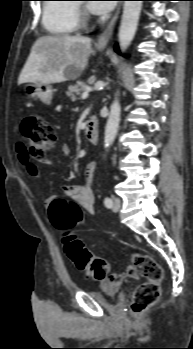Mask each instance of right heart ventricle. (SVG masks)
I'll return each mask as SVG.
<instances>
[{
    "label": "right heart ventricle",
    "mask_w": 193,
    "mask_h": 349,
    "mask_svg": "<svg viewBox=\"0 0 193 349\" xmlns=\"http://www.w3.org/2000/svg\"><path fill=\"white\" fill-rule=\"evenodd\" d=\"M44 4L42 24L53 36H69L79 27V6L72 0H48ZM53 1V2H52ZM54 1H65L55 3Z\"/></svg>",
    "instance_id": "right-heart-ventricle-1"
}]
</instances>
